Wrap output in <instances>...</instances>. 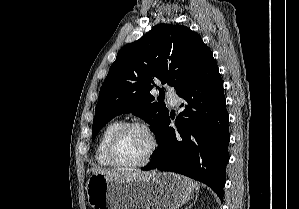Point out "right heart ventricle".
<instances>
[{"mask_svg": "<svg viewBox=\"0 0 299 209\" xmlns=\"http://www.w3.org/2000/svg\"><path fill=\"white\" fill-rule=\"evenodd\" d=\"M122 124L120 120H112L109 122L105 128L103 129L99 140L96 145V152H95V157L96 161L99 165L102 166H110L109 161L107 159V145L108 141L113 134V132Z\"/></svg>", "mask_w": 299, "mask_h": 209, "instance_id": "e07e8e85", "label": "right heart ventricle"}]
</instances>
